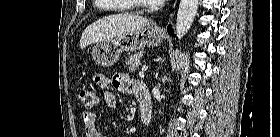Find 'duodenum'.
Returning <instances> with one entry per match:
<instances>
[{"label":"duodenum","instance_id":"obj_1","mask_svg":"<svg viewBox=\"0 0 280 137\" xmlns=\"http://www.w3.org/2000/svg\"><path fill=\"white\" fill-rule=\"evenodd\" d=\"M137 97L140 105L139 118L143 125H148L153 120V106L149 88L146 84H139Z\"/></svg>","mask_w":280,"mask_h":137}]
</instances>
